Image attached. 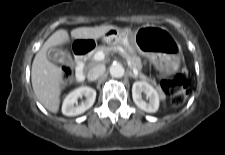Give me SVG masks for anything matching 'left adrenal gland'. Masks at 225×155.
I'll return each mask as SVG.
<instances>
[{"mask_svg": "<svg viewBox=\"0 0 225 155\" xmlns=\"http://www.w3.org/2000/svg\"><path fill=\"white\" fill-rule=\"evenodd\" d=\"M129 75L134 78V79H137L138 77L136 75H134L131 71L129 72Z\"/></svg>", "mask_w": 225, "mask_h": 155, "instance_id": "a2214340", "label": "left adrenal gland"}]
</instances>
